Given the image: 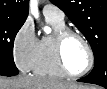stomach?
I'll return each instance as SVG.
<instances>
[{"label":"stomach","instance_id":"obj_1","mask_svg":"<svg viewBox=\"0 0 107 89\" xmlns=\"http://www.w3.org/2000/svg\"><path fill=\"white\" fill-rule=\"evenodd\" d=\"M69 89H89V88H74V87H70Z\"/></svg>","mask_w":107,"mask_h":89}]
</instances>
